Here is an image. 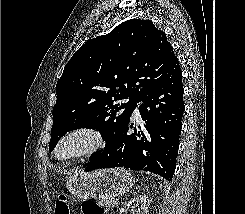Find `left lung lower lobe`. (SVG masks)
Wrapping results in <instances>:
<instances>
[{
    "label": "left lung lower lobe",
    "mask_w": 245,
    "mask_h": 214,
    "mask_svg": "<svg viewBox=\"0 0 245 214\" xmlns=\"http://www.w3.org/2000/svg\"><path fill=\"white\" fill-rule=\"evenodd\" d=\"M182 72L179 64L152 91L139 107L144 126L128 134L125 123L116 140L103 152L90 157L85 171L124 167L158 174L171 181L176 167L182 129Z\"/></svg>",
    "instance_id": "0a47b994"
}]
</instances>
